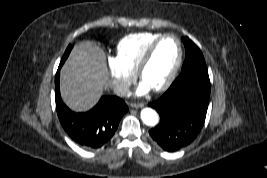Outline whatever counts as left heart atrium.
<instances>
[{"instance_id": "obj_1", "label": "left heart atrium", "mask_w": 267, "mask_h": 178, "mask_svg": "<svg viewBox=\"0 0 267 178\" xmlns=\"http://www.w3.org/2000/svg\"><path fill=\"white\" fill-rule=\"evenodd\" d=\"M150 89L151 88L145 82L142 81L141 84L139 85L137 91H136V94L138 96H142V95L148 93L150 91Z\"/></svg>"}]
</instances>
